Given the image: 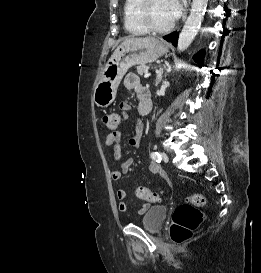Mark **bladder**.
<instances>
[{
    "mask_svg": "<svg viewBox=\"0 0 261 273\" xmlns=\"http://www.w3.org/2000/svg\"><path fill=\"white\" fill-rule=\"evenodd\" d=\"M168 210L165 206H151L141 219L142 227L148 232H158L163 227Z\"/></svg>",
    "mask_w": 261,
    "mask_h": 273,
    "instance_id": "31cf9c89",
    "label": "bladder"
}]
</instances>
